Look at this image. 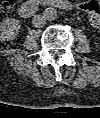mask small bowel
<instances>
[{
    "label": "small bowel",
    "instance_id": "1",
    "mask_svg": "<svg viewBox=\"0 0 100 118\" xmlns=\"http://www.w3.org/2000/svg\"><path fill=\"white\" fill-rule=\"evenodd\" d=\"M85 3H86V2H85ZM85 3H83V5H84ZM82 7H83L84 10H86V9H85V6H82ZM86 11H87V10H86ZM87 12H88V11H87ZM88 13L90 14V12H88Z\"/></svg>",
    "mask_w": 100,
    "mask_h": 118
}]
</instances>
